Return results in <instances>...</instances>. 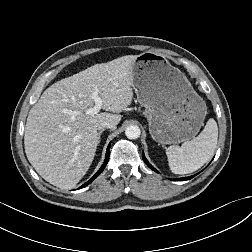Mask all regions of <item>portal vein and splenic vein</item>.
Segmentation results:
<instances>
[{
  "instance_id": "18ae733b",
  "label": "portal vein and splenic vein",
  "mask_w": 252,
  "mask_h": 252,
  "mask_svg": "<svg viewBox=\"0 0 252 252\" xmlns=\"http://www.w3.org/2000/svg\"><path fill=\"white\" fill-rule=\"evenodd\" d=\"M91 97L94 100L95 105H94V107L89 108V109L86 110V113L88 115L97 114L100 111V109L102 108V99L99 96V90L98 89H96L92 93Z\"/></svg>"
}]
</instances>
